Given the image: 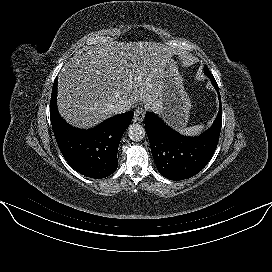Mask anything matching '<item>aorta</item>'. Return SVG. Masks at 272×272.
I'll return each mask as SVG.
<instances>
[{"instance_id": "1", "label": "aorta", "mask_w": 272, "mask_h": 272, "mask_svg": "<svg viewBox=\"0 0 272 272\" xmlns=\"http://www.w3.org/2000/svg\"><path fill=\"white\" fill-rule=\"evenodd\" d=\"M145 135L144 127L138 123H133L128 127V136L134 142L141 141Z\"/></svg>"}]
</instances>
